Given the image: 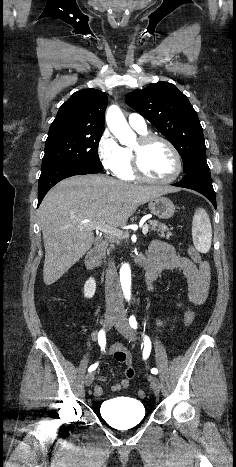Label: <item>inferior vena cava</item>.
<instances>
[{
    "label": "inferior vena cava",
    "mask_w": 236,
    "mask_h": 467,
    "mask_svg": "<svg viewBox=\"0 0 236 467\" xmlns=\"http://www.w3.org/2000/svg\"><path fill=\"white\" fill-rule=\"evenodd\" d=\"M105 298L107 307L123 308V296L114 260L108 262L105 277Z\"/></svg>",
    "instance_id": "602c4592"
}]
</instances>
